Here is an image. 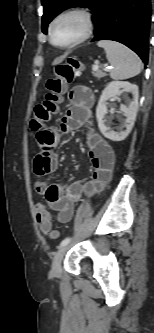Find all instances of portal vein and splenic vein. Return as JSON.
Wrapping results in <instances>:
<instances>
[{
	"mask_svg": "<svg viewBox=\"0 0 154 333\" xmlns=\"http://www.w3.org/2000/svg\"><path fill=\"white\" fill-rule=\"evenodd\" d=\"M95 68L97 69V68H98V65H96ZM111 68H112V67H110V66L104 65V69H105V70H109V69H111Z\"/></svg>",
	"mask_w": 154,
	"mask_h": 333,
	"instance_id": "obj_1",
	"label": "portal vein and splenic vein"
}]
</instances>
